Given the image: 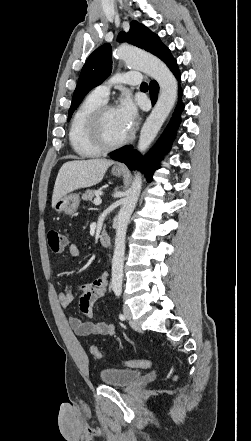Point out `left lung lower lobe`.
Returning <instances> with one entry per match:
<instances>
[{"mask_svg": "<svg viewBox=\"0 0 251 441\" xmlns=\"http://www.w3.org/2000/svg\"><path fill=\"white\" fill-rule=\"evenodd\" d=\"M161 60L166 63V65L170 68L177 79L180 80V73L178 70L177 62L176 59L172 57L170 50H168V52ZM158 92V83L154 80L151 81L150 97L153 105L157 100ZM179 96H182V90L180 88ZM183 108V104L181 103V101H179L169 125L164 131L159 142L146 158H141V156L138 155L137 151L133 150L132 146H124L116 150L115 153L111 155V158L116 161L125 163L130 170L138 168L141 169L145 173L148 182H150L153 172L157 169L160 156L169 150L171 142L175 138L176 129L180 123V114Z\"/></svg>", "mask_w": 251, "mask_h": 441, "instance_id": "1", "label": "left lung lower lobe"}]
</instances>
